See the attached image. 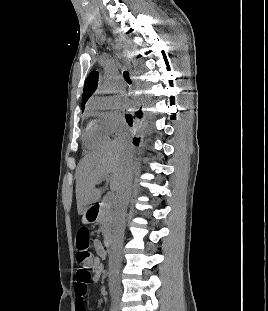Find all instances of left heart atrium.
Returning <instances> with one entry per match:
<instances>
[{"label":"left heart atrium","instance_id":"left-heart-atrium-1","mask_svg":"<svg viewBox=\"0 0 268 311\" xmlns=\"http://www.w3.org/2000/svg\"><path fill=\"white\" fill-rule=\"evenodd\" d=\"M117 104L123 108L127 107L129 105V102L123 98L117 99Z\"/></svg>","mask_w":268,"mask_h":311}]
</instances>
